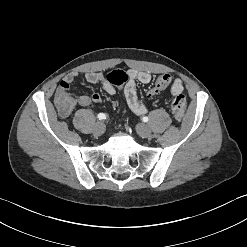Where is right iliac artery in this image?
<instances>
[{
  "mask_svg": "<svg viewBox=\"0 0 247 247\" xmlns=\"http://www.w3.org/2000/svg\"><path fill=\"white\" fill-rule=\"evenodd\" d=\"M97 117H98L99 120H104V119H106L107 116L104 113H100V114H98Z\"/></svg>",
  "mask_w": 247,
  "mask_h": 247,
  "instance_id": "obj_1",
  "label": "right iliac artery"
}]
</instances>
